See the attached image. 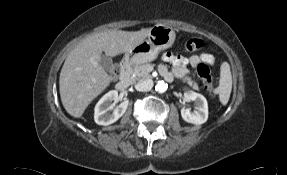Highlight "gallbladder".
Segmentation results:
<instances>
[{"label":"gallbladder","instance_id":"bac80fb5","mask_svg":"<svg viewBox=\"0 0 287 175\" xmlns=\"http://www.w3.org/2000/svg\"><path fill=\"white\" fill-rule=\"evenodd\" d=\"M99 64L105 69L109 70L112 67V59L108 57L107 55L101 54V59L99 61Z\"/></svg>","mask_w":287,"mask_h":175}]
</instances>
